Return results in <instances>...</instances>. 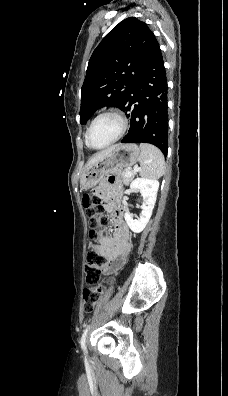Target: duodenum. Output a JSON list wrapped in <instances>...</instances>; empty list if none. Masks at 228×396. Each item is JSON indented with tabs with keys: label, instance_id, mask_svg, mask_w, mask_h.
Here are the masks:
<instances>
[{
	"label": "duodenum",
	"instance_id": "1",
	"mask_svg": "<svg viewBox=\"0 0 228 396\" xmlns=\"http://www.w3.org/2000/svg\"><path fill=\"white\" fill-rule=\"evenodd\" d=\"M120 223H121V220H120ZM121 225H122L123 228L125 227V225H123V224H121Z\"/></svg>",
	"mask_w": 228,
	"mask_h": 396
}]
</instances>
